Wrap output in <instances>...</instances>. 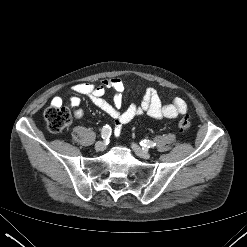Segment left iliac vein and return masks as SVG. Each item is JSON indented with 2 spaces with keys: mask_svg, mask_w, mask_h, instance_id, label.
I'll return each mask as SVG.
<instances>
[{
  "mask_svg": "<svg viewBox=\"0 0 247 247\" xmlns=\"http://www.w3.org/2000/svg\"><path fill=\"white\" fill-rule=\"evenodd\" d=\"M133 151L141 158L144 159H149L150 158V154L147 150H144L142 148H140L137 144H132L131 145Z\"/></svg>",
  "mask_w": 247,
  "mask_h": 247,
  "instance_id": "1",
  "label": "left iliac vein"
}]
</instances>
